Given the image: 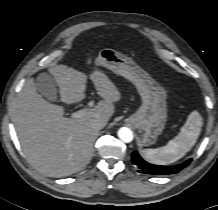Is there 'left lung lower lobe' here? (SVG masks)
Wrapping results in <instances>:
<instances>
[{"label": "left lung lower lobe", "instance_id": "0a47b994", "mask_svg": "<svg viewBox=\"0 0 218 210\" xmlns=\"http://www.w3.org/2000/svg\"><path fill=\"white\" fill-rule=\"evenodd\" d=\"M192 159L185 161L182 164H178L175 166H156L153 164H149L144 161L137 151L132 152V163L139 168V172L144 174H152V175H167L172 173H177L185 168Z\"/></svg>", "mask_w": 218, "mask_h": 210}]
</instances>
